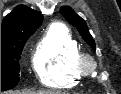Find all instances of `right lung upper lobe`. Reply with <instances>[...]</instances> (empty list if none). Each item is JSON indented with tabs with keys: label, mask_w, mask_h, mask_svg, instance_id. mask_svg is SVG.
<instances>
[{
	"label": "right lung upper lobe",
	"mask_w": 121,
	"mask_h": 94,
	"mask_svg": "<svg viewBox=\"0 0 121 94\" xmlns=\"http://www.w3.org/2000/svg\"><path fill=\"white\" fill-rule=\"evenodd\" d=\"M43 21L41 12L19 5L2 22L1 42L25 33L35 32Z\"/></svg>",
	"instance_id": "cb5924a9"
}]
</instances>
